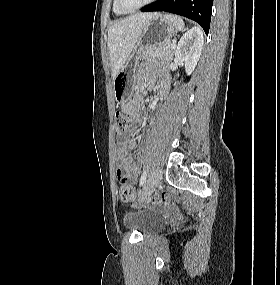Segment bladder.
<instances>
[{"label":"bladder","mask_w":280,"mask_h":285,"mask_svg":"<svg viewBox=\"0 0 280 285\" xmlns=\"http://www.w3.org/2000/svg\"><path fill=\"white\" fill-rule=\"evenodd\" d=\"M123 221L126 227L146 233L158 229L162 223V217L156 211L142 210L125 214Z\"/></svg>","instance_id":"31cf9c89"}]
</instances>
